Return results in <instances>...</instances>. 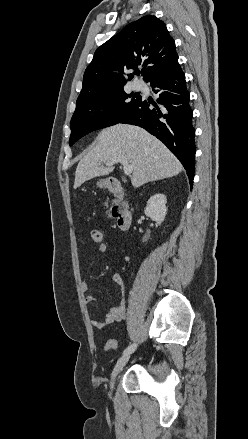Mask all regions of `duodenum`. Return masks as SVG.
I'll return each mask as SVG.
<instances>
[{
	"instance_id": "1",
	"label": "duodenum",
	"mask_w": 248,
	"mask_h": 439,
	"mask_svg": "<svg viewBox=\"0 0 248 439\" xmlns=\"http://www.w3.org/2000/svg\"><path fill=\"white\" fill-rule=\"evenodd\" d=\"M108 190L117 197L113 205L112 213L120 230H127L133 220V215L125 202L126 193L121 182L117 179L108 181Z\"/></svg>"
}]
</instances>
